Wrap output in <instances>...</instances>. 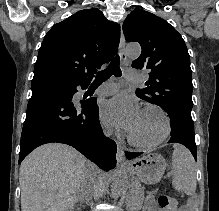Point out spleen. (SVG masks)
I'll use <instances>...</instances> for the list:
<instances>
[{
	"mask_svg": "<svg viewBox=\"0 0 219 211\" xmlns=\"http://www.w3.org/2000/svg\"><path fill=\"white\" fill-rule=\"evenodd\" d=\"M173 147L172 185L178 191H184L187 195H193L197 185L194 157H192L189 149L181 145V143H174Z\"/></svg>",
	"mask_w": 219,
	"mask_h": 211,
	"instance_id": "spleen-1",
	"label": "spleen"
}]
</instances>
